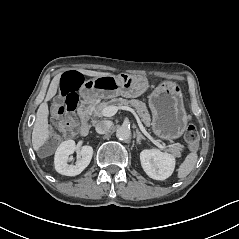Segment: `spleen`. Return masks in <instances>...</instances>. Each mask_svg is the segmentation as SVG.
<instances>
[{
	"instance_id": "3e777b00",
	"label": "spleen",
	"mask_w": 239,
	"mask_h": 239,
	"mask_svg": "<svg viewBox=\"0 0 239 239\" xmlns=\"http://www.w3.org/2000/svg\"><path fill=\"white\" fill-rule=\"evenodd\" d=\"M197 162V154L190 153L178 169V177L185 178L194 168Z\"/></svg>"
}]
</instances>
